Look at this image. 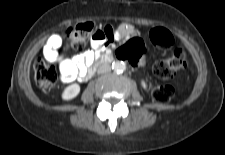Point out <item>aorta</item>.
<instances>
[{
  "mask_svg": "<svg viewBox=\"0 0 225 155\" xmlns=\"http://www.w3.org/2000/svg\"><path fill=\"white\" fill-rule=\"evenodd\" d=\"M112 69L118 73H123L126 70V64L123 61H116L112 64Z\"/></svg>",
  "mask_w": 225,
  "mask_h": 155,
  "instance_id": "762f6f07",
  "label": "aorta"
}]
</instances>
